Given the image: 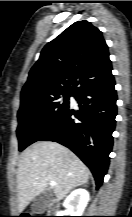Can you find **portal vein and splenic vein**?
I'll return each instance as SVG.
<instances>
[{"label":"portal vein and splenic vein","instance_id":"1","mask_svg":"<svg viewBox=\"0 0 132 217\" xmlns=\"http://www.w3.org/2000/svg\"><path fill=\"white\" fill-rule=\"evenodd\" d=\"M56 185V182L55 181H51L50 182V186L54 187Z\"/></svg>","mask_w":132,"mask_h":217}]
</instances>
